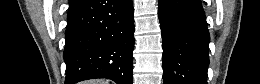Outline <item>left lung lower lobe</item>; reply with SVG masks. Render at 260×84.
I'll return each instance as SVG.
<instances>
[{"instance_id": "obj_1", "label": "left lung lower lobe", "mask_w": 260, "mask_h": 84, "mask_svg": "<svg viewBox=\"0 0 260 84\" xmlns=\"http://www.w3.org/2000/svg\"><path fill=\"white\" fill-rule=\"evenodd\" d=\"M164 84H207L209 32L200 0H159Z\"/></svg>"}]
</instances>
